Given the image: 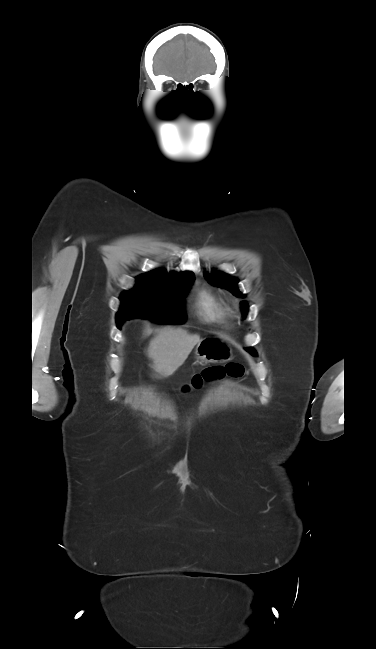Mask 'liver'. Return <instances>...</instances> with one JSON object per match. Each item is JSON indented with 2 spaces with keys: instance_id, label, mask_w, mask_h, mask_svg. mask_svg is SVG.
Instances as JSON below:
<instances>
[{
  "instance_id": "obj_1",
  "label": "liver",
  "mask_w": 376,
  "mask_h": 649,
  "mask_svg": "<svg viewBox=\"0 0 376 649\" xmlns=\"http://www.w3.org/2000/svg\"><path fill=\"white\" fill-rule=\"evenodd\" d=\"M200 336L191 335L183 329L164 328L148 346V357L153 361V370L162 377L171 376L187 359Z\"/></svg>"
}]
</instances>
